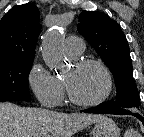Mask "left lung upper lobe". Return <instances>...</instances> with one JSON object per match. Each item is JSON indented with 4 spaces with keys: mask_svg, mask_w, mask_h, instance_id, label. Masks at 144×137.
<instances>
[{
    "mask_svg": "<svg viewBox=\"0 0 144 137\" xmlns=\"http://www.w3.org/2000/svg\"><path fill=\"white\" fill-rule=\"evenodd\" d=\"M78 32L96 50L111 70L116 82L113 109L139 108V96L132 74L129 45L119 24L102 12L84 11L79 15Z\"/></svg>",
    "mask_w": 144,
    "mask_h": 137,
    "instance_id": "left-lung-upper-lobe-1",
    "label": "left lung upper lobe"
}]
</instances>
